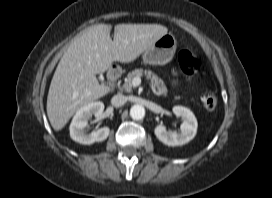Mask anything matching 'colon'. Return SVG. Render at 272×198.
I'll list each match as a JSON object with an SVG mask.
<instances>
[{
  "mask_svg": "<svg viewBox=\"0 0 272 198\" xmlns=\"http://www.w3.org/2000/svg\"><path fill=\"white\" fill-rule=\"evenodd\" d=\"M178 64L181 71L187 75H195L201 69L199 59L188 50H181L178 53ZM203 106L207 110H212L217 105V94L213 89H206L201 95Z\"/></svg>",
  "mask_w": 272,
  "mask_h": 198,
  "instance_id": "1",
  "label": "colon"
}]
</instances>
